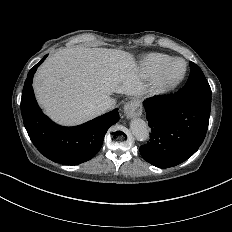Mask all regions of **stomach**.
Here are the masks:
<instances>
[{"label": "stomach", "mask_w": 232, "mask_h": 232, "mask_svg": "<svg viewBox=\"0 0 232 232\" xmlns=\"http://www.w3.org/2000/svg\"><path fill=\"white\" fill-rule=\"evenodd\" d=\"M135 101H137V102H139V103H141L142 102V100L141 99H135ZM141 105V104H140Z\"/></svg>", "instance_id": "obj_1"}]
</instances>
